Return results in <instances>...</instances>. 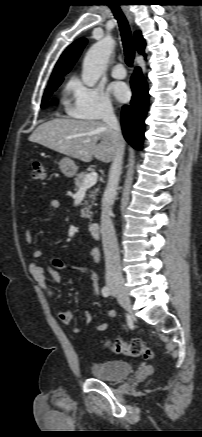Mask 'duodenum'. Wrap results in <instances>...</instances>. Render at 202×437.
<instances>
[{"instance_id": "duodenum-1", "label": "duodenum", "mask_w": 202, "mask_h": 437, "mask_svg": "<svg viewBox=\"0 0 202 437\" xmlns=\"http://www.w3.org/2000/svg\"><path fill=\"white\" fill-rule=\"evenodd\" d=\"M89 234L92 238L98 239L100 236V224L97 222H92L88 226Z\"/></svg>"}]
</instances>
